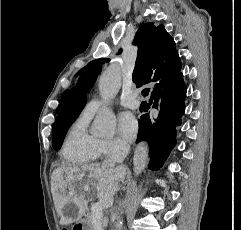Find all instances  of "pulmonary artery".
<instances>
[{
  "mask_svg": "<svg viewBox=\"0 0 241 230\" xmlns=\"http://www.w3.org/2000/svg\"><path fill=\"white\" fill-rule=\"evenodd\" d=\"M121 104L130 109H137L140 106V102L135 96H129L121 100ZM103 105V101L96 98L89 101L85 107V110L90 113L97 112L101 106Z\"/></svg>",
  "mask_w": 241,
  "mask_h": 230,
  "instance_id": "e3ab8cb5",
  "label": "pulmonary artery"
}]
</instances>
